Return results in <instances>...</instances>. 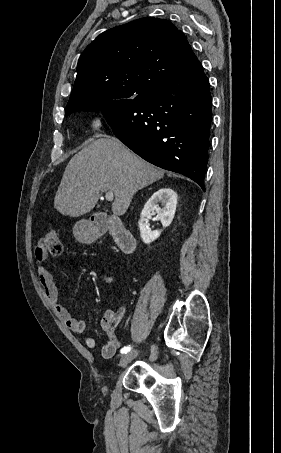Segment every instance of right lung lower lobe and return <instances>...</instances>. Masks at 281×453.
I'll return each instance as SVG.
<instances>
[{"mask_svg": "<svg viewBox=\"0 0 281 453\" xmlns=\"http://www.w3.org/2000/svg\"><path fill=\"white\" fill-rule=\"evenodd\" d=\"M211 104L209 81L197 60L178 77L100 111L115 136L132 151L191 178L205 190Z\"/></svg>", "mask_w": 281, "mask_h": 453, "instance_id": "1", "label": "right lung lower lobe"}]
</instances>
